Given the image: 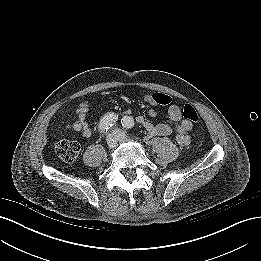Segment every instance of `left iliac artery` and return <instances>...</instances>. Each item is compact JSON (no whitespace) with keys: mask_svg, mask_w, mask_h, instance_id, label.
Masks as SVG:
<instances>
[{"mask_svg":"<svg viewBox=\"0 0 261 261\" xmlns=\"http://www.w3.org/2000/svg\"><path fill=\"white\" fill-rule=\"evenodd\" d=\"M121 124L123 128L130 129L134 126V121L131 117L125 116L124 118L121 119Z\"/></svg>","mask_w":261,"mask_h":261,"instance_id":"left-iliac-artery-1","label":"left iliac artery"}]
</instances>
